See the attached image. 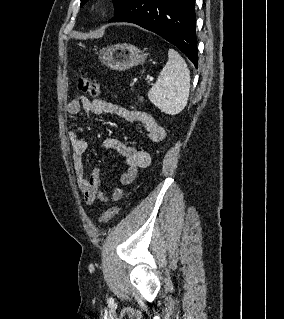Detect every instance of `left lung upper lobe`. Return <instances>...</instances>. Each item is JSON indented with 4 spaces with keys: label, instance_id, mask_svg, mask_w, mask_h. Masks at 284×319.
Here are the masks:
<instances>
[{
    "label": "left lung upper lobe",
    "instance_id": "1",
    "mask_svg": "<svg viewBox=\"0 0 284 319\" xmlns=\"http://www.w3.org/2000/svg\"><path fill=\"white\" fill-rule=\"evenodd\" d=\"M88 0H81L80 6H83ZM129 0H114L115 15L119 13Z\"/></svg>",
    "mask_w": 284,
    "mask_h": 319
}]
</instances>
